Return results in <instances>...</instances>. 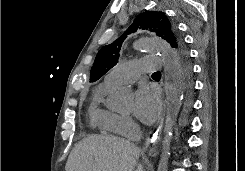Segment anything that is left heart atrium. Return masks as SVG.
Instances as JSON below:
<instances>
[{"label": "left heart atrium", "mask_w": 245, "mask_h": 171, "mask_svg": "<svg viewBox=\"0 0 245 171\" xmlns=\"http://www.w3.org/2000/svg\"><path fill=\"white\" fill-rule=\"evenodd\" d=\"M161 111V99L157 91L147 87L139 88L135 93L134 115L143 123L151 124Z\"/></svg>", "instance_id": "1"}]
</instances>
